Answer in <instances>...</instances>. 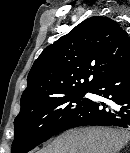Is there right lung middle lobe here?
Segmentation results:
<instances>
[{"mask_svg":"<svg viewBox=\"0 0 130 153\" xmlns=\"http://www.w3.org/2000/svg\"><path fill=\"white\" fill-rule=\"evenodd\" d=\"M80 91L58 97L18 115L14 120L12 153H27L62 131L67 123L79 113L90 99Z\"/></svg>","mask_w":130,"mask_h":153,"instance_id":"obj_1","label":"right lung middle lobe"}]
</instances>
